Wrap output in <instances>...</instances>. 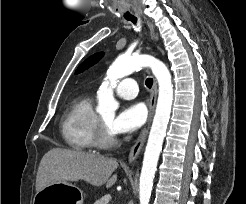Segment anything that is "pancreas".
Returning a JSON list of instances; mask_svg holds the SVG:
<instances>
[{"label":"pancreas","mask_w":246,"mask_h":204,"mask_svg":"<svg viewBox=\"0 0 246 204\" xmlns=\"http://www.w3.org/2000/svg\"><path fill=\"white\" fill-rule=\"evenodd\" d=\"M111 201L110 195H105L101 197L100 199L96 200L94 204H109Z\"/></svg>","instance_id":"obj_1"}]
</instances>
